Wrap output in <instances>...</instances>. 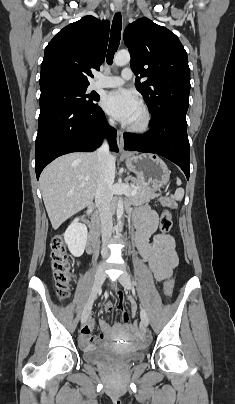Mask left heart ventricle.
Instances as JSON below:
<instances>
[{"label":"left heart ventricle","instance_id":"obj_1","mask_svg":"<svg viewBox=\"0 0 235 404\" xmlns=\"http://www.w3.org/2000/svg\"><path fill=\"white\" fill-rule=\"evenodd\" d=\"M140 116H141V111H139V112L137 113V115L135 116V118L132 120L131 123H135L136 121H138L139 118H140Z\"/></svg>","mask_w":235,"mask_h":404}]
</instances>
